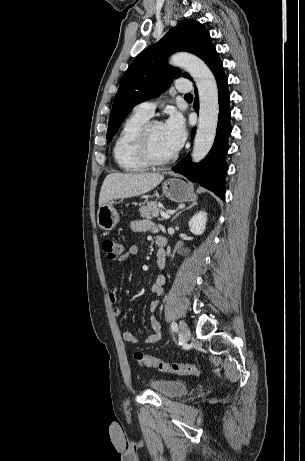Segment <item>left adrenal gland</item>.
Listing matches in <instances>:
<instances>
[{
  "label": "left adrenal gland",
  "mask_w": 305,
  "mask_h": 461,
  "mask_svg": "<svg viewBox=\"0 0 305 461\" xmlns=\"http://www.w3.org/2000/svg\"><path fill=\"white\" fill-rule=\"evenodd\" d=\"M197 205V202H193L192 204H190L187 208L181 210L180 212H178L171 220V222H173L182 212H184L185 210H190L191 208H193L194 206Z\"/></svg>",
  "instance_id": "obj_1"
}]
</instances>
